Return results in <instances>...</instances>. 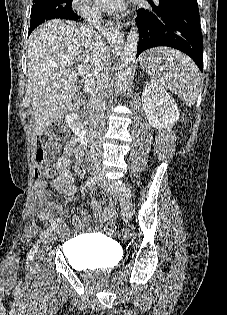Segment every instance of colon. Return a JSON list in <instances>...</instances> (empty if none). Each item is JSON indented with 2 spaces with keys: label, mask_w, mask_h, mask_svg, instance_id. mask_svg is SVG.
I'll use <instances>...</instances> for the list:
<instances>
[{
  "label": "colon",
  "mask_w": 227,
  "mask_h": 315,
  "mask_svg": "<svg viewBox=\"0 0 227 315\" xmlns=\"http://www.w3.org/2000/svg\"><path fill=\"white\" fill-rule=\"evenodd\" d=\"M69 138L67 127L62 123H53L47 127L41 137V148L36 153V160L39 166L35 174L38 179L44 178L50 171L48 164L52 155L60 153ZM107 230L111 233L119 232L117 219H110ZM126 235V233H124Z\"/></svg>",
  "instance_id": "colon-1"
}]
</instances>
